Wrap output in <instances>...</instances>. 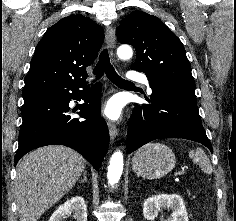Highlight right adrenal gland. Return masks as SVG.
<instances>
[{
	"label": "right adrenal gland",
	"instance_id": "obj_1",
	"mask_svg": "<svg viewBox=\"0 0 236 221\" xmlns=\"http://www.w3.org/2000/svg\"><path fill=\"white\" fill-rule=\"evenodd\" d=\"M87 181H88V179H87V172L84 171L83 179H81V180L79 181V183H83V182H87Z\"/></svg>",
	"mask_w": 236,
	"mask_h": 221
}]
</instances>
